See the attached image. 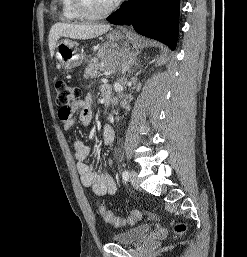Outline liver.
Masks as SVG:
<instances>
[{"mask_svg": "<svg viewBox=\"0 0 247 257\" xmlns=\"http://www.w3.org/2000/svg\"><path fill=\"white\" fill-rule=\"evenodd\" d=\"M110 28L108 24H70V23H56L49 32V50L51 56L54 55L57 40L60 37H68L72 39H91L95 36L102 35Z\"/></svg>", "mask_w": 247, "mask_h": 257, "instance_id": "obj_1", "label": "liver"}]
</instances>
